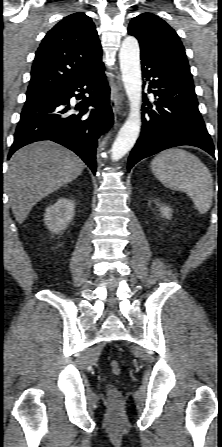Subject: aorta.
<instances>
[{"label": "aorta", "instance_id": "762f6f07", "mask_svg": "<svg viewBox=\"0 0 222 447\" xmlns=\"http://www.w3.org/2000/svg\"><path fill=\"white\" fill-rule=\"evenodd\" d=\"M119 60L122 81L130 102V112L112 145L111 159L113 161H118L132 149L140 132L142 78L140 48L135 37L128 36L123 40Z\"/></svg>", "mask_w": 222, "mask_h": 447}]
</instances>
